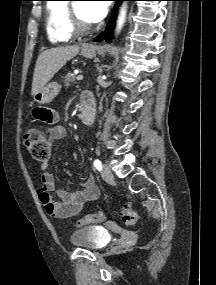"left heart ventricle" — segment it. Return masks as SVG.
<instances>
[{"instance_id":"left-heart-ventricle-1","label":"left heart ventricle","mask_w":216,"mask_h":285,"mask_svg":"<svg viewBox=\"0 0 216 285\" xmlns=\"http://www.w3.org/2000/svg\"><path fill=\"white\" fill-rule=\"evenodd\" d=\"M75 11L77 13V16L80 18L81 21L84 23L89 24L85 17V3L83 2H76L74 3Z\"/></svg>"}]
</instances>
